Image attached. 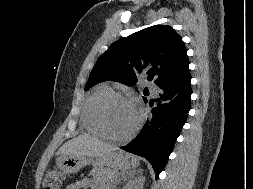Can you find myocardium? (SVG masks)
Listing matches in <instances>:
<instances>
[{"label":"myocardium","mask_w":253,"mask_h":189,"mask_svg":"<svg viewBox=\"0 0 253 189\" xmlns=\"http://www.w3.org/2000/svg\"><path fill=\"white\" fill-rule=\"evenodd\" d=\"M115 101H120V102H124L127 104L132 105L136 111H137V122L135 124V126L132 128V130L130 132H128L127 134L123 135V136H117L114 135L108 128L107 124H106V120H105V109L106 107ZM95 118L97 121L98 126L100 127L103 135L111 140L114 141H120V142H124V141H128L131 138L134 137V135L140 130L142 123H143V113L142 110L139 108V106L129 97L121 94V93H117V92H112L104 97H102L98 103L96 104L95 107Z\"/></svg>","instance_id":"myocardium-1"}]
</instances>
